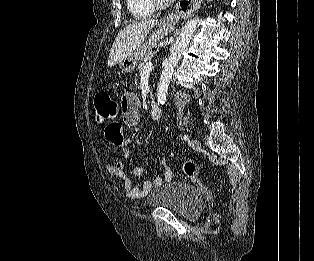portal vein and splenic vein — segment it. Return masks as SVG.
Segmentation results:
<instances>
[{"mask_svg": "<svg viewBox=\"0 0 314 261\" xmlns=\"http://www.w3.org/2000/svg\"><path fill=\"white\" fill-rule=\"evenodd\" d=\"M152 69H153V64H152V62H147L145 65H144V72H150V71H152Z\"/></svg>", "mask_w": 314, "mask_h": 261, "instance_id": "1", "label": "portal vein and splenic vein"}]
</instances>
